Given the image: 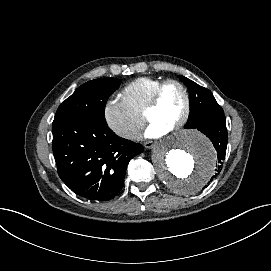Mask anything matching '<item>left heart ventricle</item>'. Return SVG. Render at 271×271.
Listing matches in <instances>:
<instances>
[{"mask_svg": "<svg viewBox=\"0 0 271 271\" xmlns=\"http://www.w3.org/2000/svg\"><path fill=\"white\" fill-rule=\"evenodd\" d=\"M185 110L186 97L183 90L176 84H169L161 94L158 108L149 114V123H154L169 132Z\"/></svg>", "mask_w": 271, "mask_h": 271, "instance_id": "1", "label": "left heart ventricle"}]
</instances>
